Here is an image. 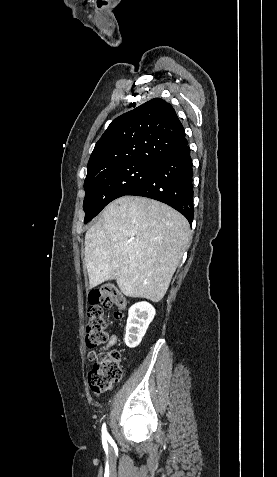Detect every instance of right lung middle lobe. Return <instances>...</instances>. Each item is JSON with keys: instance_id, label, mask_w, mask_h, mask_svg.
<instances>
[{"instance_id": "obj_1", "label": "right lung middle lobe", "mask_w": 277, "mask_h": 477, "mask_svg": "<svg viewBox=\"0 0 277 477\" xmlns=\"http://www.w3.org/2000/svg\"><path fill=\"white\" fill-rule=\"evenodd\" d=\"M154 167L155 164L132 162L87 173L84 182V223L92 220L108 203L125 196L142 183Z\"/></svg>"}]
</instances>
